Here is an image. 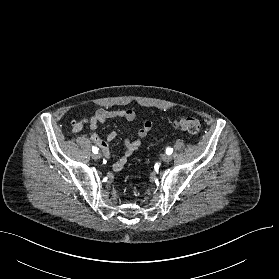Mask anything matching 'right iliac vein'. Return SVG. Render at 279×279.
<instances>
[{
	"instance_id": "right-iliac-vein-1",
	"label": "right iliac vein",
	"mask_w": 279,
	"mask_h": 279,
	"mask_svg": "<svg viewBox=\"0 0 279 279\" xmlns=\"http://www.w3.org/2000/svg\"><path fill=\"white\" fill-rule=\"evenodd\" d=\"M101 157H102V155H101L100 153H97V154H94V155H93V158H94L95 160H99V159H101Z\"/></svg>"
}]
</instances>
